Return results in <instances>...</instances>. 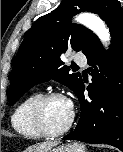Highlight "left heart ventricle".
I'll return each instance as SVG.
<instances>
[{
	"label": "left heart ventricle",
	"mask_w": 123,
	"mask_h": 152,
	"mask_svg": "<svg viewBox=\"0 0 123 152\" xmlns=\"http://www.w3.org/2000/svg\"><path fill=\"white\" fill-rule=\"evenodd\" d=\"M71 108L67 100L55 98L50 100L44 109V119L47 127L51 130H59L68 122Z\"/></svg>",
	"instance_id": "1"
}]
</instances>
